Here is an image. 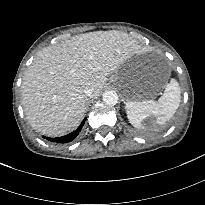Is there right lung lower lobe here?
<instances>
[{
    "instance_id": "obj_1",
    "label": "right lung lower lobe",
    "mask_w": 205,
    "mask_h": 205,
    "mask_svg": "<svg viewBox=\"0 0 205 205\" xmlns=\"http://www.w3.org/2000/svg\"><path fill=\"white\" fill-rule=\"evenodd\" d=\"M84 122H85V119L82 121L81 125L75 131H73L72 133H70L68 135H65L62 137H57V138H49V137H46V138H47V140H50L51 142H56V143L70 142L77 137V135L79 134V132L81 131V129L84 125Z\"/></svg>"
}]
</instances>
